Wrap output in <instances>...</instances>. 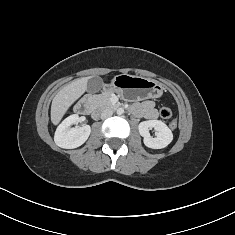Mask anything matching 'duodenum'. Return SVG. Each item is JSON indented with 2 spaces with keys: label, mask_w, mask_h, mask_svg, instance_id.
<instances>
[{
  "label": "duodenum",
  "mask_w": 235,
  "mask_h": 235,
  "mask_svg": "<svg viewBox=\"0 0 235 235\" xmlns=\"http://www.w3.org/2000/svg\"><path fill=\"white\" fill-rule=\"evenodd\" d=\"M75 110L79 114L92 112V95H88L80 100L76 104ZM92 114L96 116V112H93Z\"/></svg>",
  "instance_id": "410a0bca"
}]
</instances>
